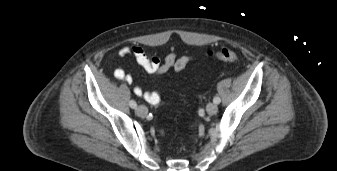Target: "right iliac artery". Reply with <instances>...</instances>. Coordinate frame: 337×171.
I'll return each instance as SVG.
<instances>
[{
  "instance_id": "obj_1",
  "label": "right iliac artery",
  "mask_w": 337,
  "mask_h": 171,
  "mask_svg": "<svg viewBox=\"0 0 337 171\" xmlns=\"http://www.w3.org/2000/svg\"><path fill=\"white\" fill-rule=\"evenodd\" d=\"M129 106H130L131 108L135 109V108L137 107V103H136L134 100H131V101L129 102Z\"/></svg>"
}]
</instances>
